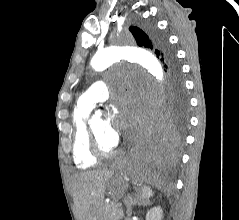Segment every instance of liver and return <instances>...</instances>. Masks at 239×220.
<instances>
[{"mask_svg":"<svg viewBox=\"0 0 239 220\" xmlns=\"http://www.w3.org/2000/svg\"><path fill=\"white\" fill-rule=\"evenodd\" d=\"M114 171L103 169L86 171L72 178L74 204L79 220H103L106 185Z\"/></svg>","mask_w":239,"mask_h":220,"instance_id":"6515ba94","label":"liver"}]
</instances>
